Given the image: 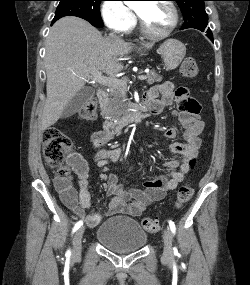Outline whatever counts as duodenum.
<instances>
[{
    "label": "duodenum",
    "mask_w": 250,
    "mask_h": 285,
    "mask_svg": "<svg viewBox=\"0 0 250 285\" xmlns=\"http://www.w3.org/2000/svg\"><path fill=\"white\" fill-rule=\"evenodd\" d=\"M99 102L101 104H105L108 99V93L106 90L100 89L97 93ZM143 118V110L138 109L131 111L117 119L107 120L105 122L104 128L109 133H116L124 126H127L129 124L133 123H139Z\"/></svg>",
    "instance_id": "410a0bca"
}]
</instances>
